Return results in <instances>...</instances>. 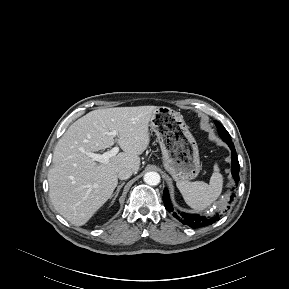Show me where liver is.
I'll return each mask as SVG.
<instances>
[{
    "instance_id": "6515ba94",
    "label": "liver",
    "mask_w": 289,
    "mask_h": 289,
    "mask_svg": "<svg viewBox=\"0 0 289 289\" xmlns=\"http://www.w3.org/2000/svg\"><path fill=\"white\" fill-rule=\"evenodd\" d=\"M155 106L117 107L89 112L59 139L48 171L49 196L56 211L75 226L86 224L111 198L118 172H137L150 142L149 121ZM115 130L117 137L108 133ZM117 142L123 152L98 164L86 153L105 150Z\"/></svg>"
}]
</instances>
